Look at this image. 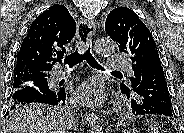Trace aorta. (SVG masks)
Returning <instances> with one entry per match:
<instances>
[{
	"label": "aorta",
	"instance_id": "obj_1",
	"mask_svg": "<svg viewBox=\"0 0 184 133\" xmlns=\"http://www.w3.org/2000/svg\"><path fill=\"white\" fill-rule=\"evenodd\" d=\"M96 53L102 56H109L115 51V45L112 41L107 39H98L94 43ZM90 133H103V129L99 124L91 128Z\"/></svg>",
	"mask_w": 184,
	"mask_h": 133
}]
</instances>
